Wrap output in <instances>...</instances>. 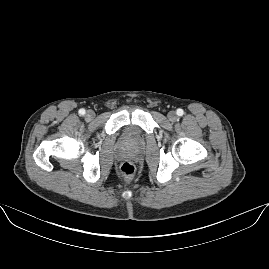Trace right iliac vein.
Here are the masks:
<instances>
[{
	"label": "right iliac vein",
	"mask_w": 269,
	"mask_h": 269,
	"mask_svg": "<svg viewBox=\"0 0 269 269\" xmlns=\"http://www.w3.org/2000/svg\"><path fill=\"white\" fill-rule=\"evenodd\" d=\"M85 116L87 120H92L95 117V112L93 110H88Z\"/></svg>",
	"instance_id": "63e3f726"
}]
</instances>
